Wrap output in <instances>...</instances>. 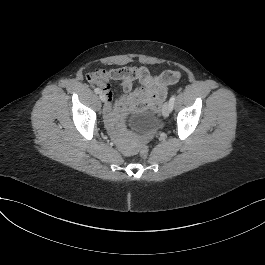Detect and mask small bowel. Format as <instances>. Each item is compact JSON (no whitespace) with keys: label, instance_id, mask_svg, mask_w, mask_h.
<instances>
[{"label":"small bowel","instance_id":"obj_1","mask_svg":"<svg viewBox=\"0 0 265 265\" xmlns=\"http://www.w3.org/2000/svg\"><path fill=\"white\" fill-rule=\"evenodd\" d=\"M106 63L119 65L110 70H101L102 77L89 78L99 86L106 96L103 109L104 120L111 131H116L127 111L158 108L165 100L167 88L178 81L180 73L168 70L158 76L150 73L145 66H128L124 58L107 59ZM111 82H119L124 94L113 100ZM135 82L139 86L134 88Z\"/></svg>","mask_w":265,"mask_h":265}]
</instances>
